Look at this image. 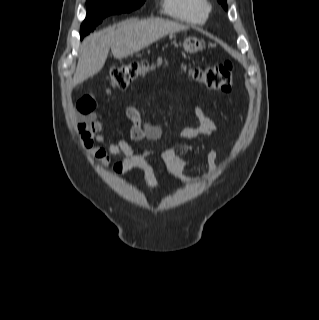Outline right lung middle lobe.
<instances>
[{"mask_svg":"<svg viewBox=\"0 0 319 320\" xmlns=\"http://www.w3.org/2000/svg\"><path fill=\"white\" fill-rule=\"evenodd\" d=\"M144 1L145 0H86L87 16L81 25V38L93 31L106 16L131 12L138 9Z\"/></svg>","mask_w":319,"mask_h":320,"instance_id":"obj_1","label":"right lung middle lobe"}]
</instances>
